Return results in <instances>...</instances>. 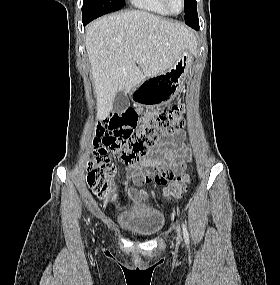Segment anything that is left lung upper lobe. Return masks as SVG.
I'll return each instance as SVG.
<instances>
[{
    "label": "left lung upper lobe",
    "instance_id": "left-lung-upper-lobe-1",
    "mask_svg": "<svg viewBox=\"0 0 280 285\" xmlns=\"http://www.w3.org/2000/svg\"><path fill=\"white\" fill-rule=\"evenodd\" d=\"M184 12V19L187 25H189L190 27L192 25H199L198 14L196 9V0H185Z\"/></svg>",
    "mask_w": 280,
    "mask_h": 285
}]
</instances>
